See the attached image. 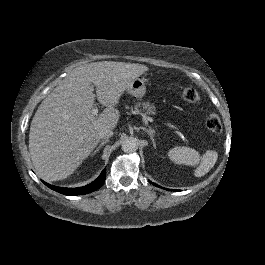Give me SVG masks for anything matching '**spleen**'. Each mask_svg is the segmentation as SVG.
<instances>
[{
    "mask_svg": "<svg viewBox=\"0 0 265 265\" xmlns=\"http://www.w3.org/2000/svg\"><path fill=\"white\" fill-rule=\"evenodd\" d=\"M169 156L177 163H195L198 161V153L187 147H175L169 151ZM218 158L217 153L208 151L203 157L202 163L196 170L197 176H204L215 165Z\"/></svg>",
    "mask_w": 265,
    "mask_h": 265,
    "instance_id": "1",
    "label": "spleen"
}]
</instances>
